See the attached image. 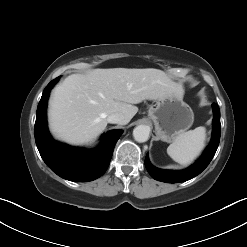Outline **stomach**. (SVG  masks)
<instances>
[{"mask_svg":"<svg viewBox=\"0 0 247 247\" xmlns=\"http://www.w3.org/2000/svg\"><path fill=\"white\" fill-rule=\"evenodd\" d=\"M148 117L155 125L157 138L165 142L174 141L194 121L192 109L183 101V89L158 99L150 106Z\"/></svg>","mask_w":247,"mask_h":247,"instance_id":"stomach-1","label":"stomach"}]
</instances>
